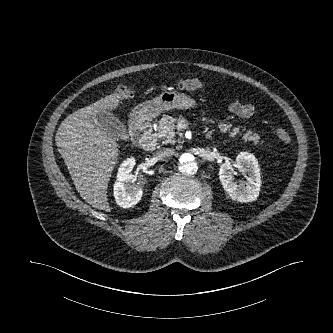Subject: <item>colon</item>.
Here are the masks:
<instances>
[{
	"mask_svg": "<svg viewBox=\"0 0 333 333\" xmlns=\"http://www.w3.org/2000/svg\"><path fill=\"white\" fill-rule=\"evenodd\" d=\"M201 86H202V83L199 79L191 78V77H186V78L182 79L178 84V87L180 89L186 90V91L198 90L201 88ZM116 94L121 99H128V98L132 97L133 90L130 86L123 85L117 89ZM275 134H276L277 139L280 142H282L284 144H289L291 142V136L286 130H284L282 128H278V129H276Z\"/></svg>",
	"mask_w": 333,
	"mask_h": 333,
	"instance_id": "obj_1",
	"label": "colon"
}]
</instances>
